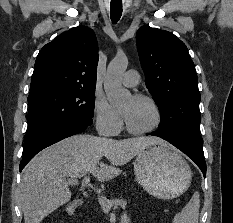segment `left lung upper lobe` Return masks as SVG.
<instances>
[{"label":"left lung upper lobe","instance_id":"5c2ea615","mask_svg":"<svg viewBox=\"0 0 233 223\" xmlns=\"http://www.w3.org/2000/svg\"><path fill=\"white\" fill-rule=\"evenodd\" d=\"M145 83L160 110L158 131L200 137V92L185 44L168 31L142 26L136 34Z\"/></svg>","mask_w":233,"mask_h":223}]
</instances>
